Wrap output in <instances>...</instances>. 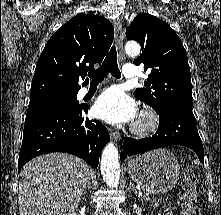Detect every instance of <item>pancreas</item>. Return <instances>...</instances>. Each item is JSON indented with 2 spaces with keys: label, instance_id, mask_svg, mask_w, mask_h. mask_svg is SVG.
I'll use <instances>...</instances> for the list:
<instances>
[{
  "label": "pancreas",
  "instance_id": "1",
  "mask_svg": "<svg viewBox=\"0 0 221 215\" xmlns=\"http://www.w3.org/2000/svg\"><path fill=\"white\" fill-rule=\"evenodd\" d=\"M151 204H153L155 207L160 206L161 204H163L164 202H162L161 199H154L150 202Z\"/></svg>",
  "mask_w": 221,
  "mask_h": 215
}]
</instances>
